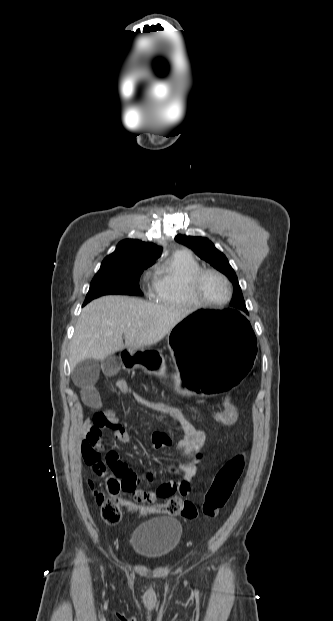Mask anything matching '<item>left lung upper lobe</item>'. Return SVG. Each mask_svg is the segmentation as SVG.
I'll use <instances>...</instances> for the list:
<instances>
[{
    "instance_id": "obj_1",
    "label": "left lung upper lobe",
    "mask_w": 333,
    "mask_h": 621,
    "mask_svg": "<svg viewBox=\"0 0 333 621\" xmlns=\"http://www.w3.org/2000/svg\"><path fill=\"white\" fill-rule=\"evenodd\" d=\"M175 240L191 248L201 259L211 264L214 268L225 274L233 283L235 293L231 300V309L248 313L237 276L230 266L225 255L215 248L214 244L204 237H193L178 234Z\"/></svg>"
}]
</instances>
